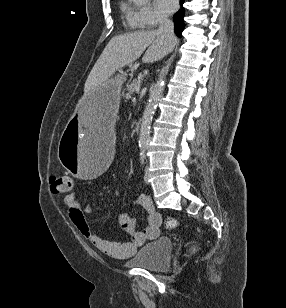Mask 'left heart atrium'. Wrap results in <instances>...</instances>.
Instances as JSON below:
<instances>
[{
	"instance_id": "obj_1",
	"label": "left heart atrium",
	"mask_w": 286,
	"mask_h": 308,
	"mask_svg": "<svg viewBox=\"0 0 286 308\" xmlns=\"http://www.w3.org/2000/svg\"><path fill=\"white\" fill-rule=\"evenodd\" d=\"M156 8L164 14H170L177 8V0H155Z\"/></svg>"
}]
</instances>
